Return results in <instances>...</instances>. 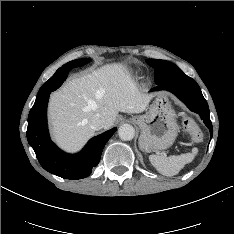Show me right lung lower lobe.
Here are the masks:
<instances>
[{
    "label": "right lung lower lobe",
    "instance_id": "obj_1",
    "mask_svg": "<svg viewBox=\"0 0 234 234\" xmlns=\"http://www.w3.org/2000/svg\"><path fill=\"white\" fill-rule=\"evenodd\" d=\"M70 70L59 68L40 88L29 112L27 140L45 170L65 179H82L89 176L92 168L98 165L102 150L116 128L92 138L86 147L75 155L61 151L50 140L47 127L49 94L61 86Z\"/></svg>",
    "mask_w": 234,
    "mask_h": 234
}]
</instances>
